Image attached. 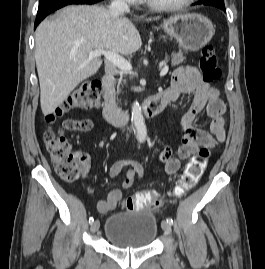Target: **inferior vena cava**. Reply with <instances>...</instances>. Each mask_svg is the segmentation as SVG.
<instances>
[{"instance_id": "inferior-vena-cava-1", "label": "inferior vena cava", "mask_w": 265, "mask_h": 269, "mask_svg": "<svg viewBox=\"0 0 265 269\" xmlns=\"http://www.w3.org/2000/svg\"><path fill=\"white\" fill-rule=\"evenodd\" d=\"M130 11L128 4L124 0H114L109 6V12L113 18L119 17L123 13Z\"/></svg>"}]
</instances>
